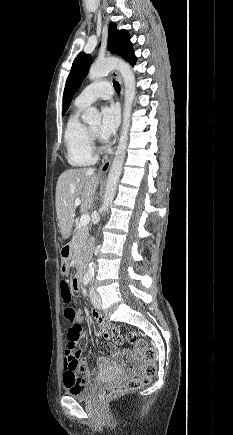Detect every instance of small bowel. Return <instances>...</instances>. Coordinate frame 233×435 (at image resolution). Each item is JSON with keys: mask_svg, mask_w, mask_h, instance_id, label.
I'll list each match as a JSON object with an SVG mask.
<instances>
[{"mask_svg": "<svg viewBox=\"0 0 233 435\" xmlns=\"http://www.w3.org/2000/svg\"><path fill=\"white\" fill-rule=\"evenodd\" d=\"M80 281L73 280L71 283L63 281L59 286V295L61 298H65L70 295L72 290L78 291L80 288ZM92 318L98 323V330L101 337L108 341L110 338L108 332V324L103 320L101 312L95 310L91 314ZM72 328L67 333V343L76 344V340L79 339L82 332V318L80 313L77 315L73 321H70ZM108 351L113 357V361L106 357L98 358L97 369H87V357L83 354H68L65 353L63 361V384L66 388L72 390L78 388L81 384H86L93 381L98 375L109 374L113 371H118L123 369V363L121 361L120 353L118 349L112 345H107ZM127 355L130 360L136 362V366L132 370L134 373H139L142 371V358L140 356V349L138 347L133 350H128ZM79 373H83V377L80 379V385H75L71 377L77 378Z\"/></svg>", "mask_w": 233, "mask_h": 435, "instance_id": "obj_1", "label": "small bowel"}]
</instances>
